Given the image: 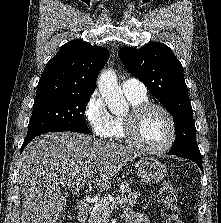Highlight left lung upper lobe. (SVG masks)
Here are the masks:
<instances>
[{"label":"left lung upper lobe","mask_w":221,"mask_h":223,"mask_svg":"<svg viewBox=\"0 0 221 223\" xmlns=\"http://www.w3.org/2000/svg\"><path fill=\"white\" fill-rule=\"evenodd\" d=\"M118 55L125 68L140 79L174 117L176 138L169 153L200 154L183 68L172 50L162 43H148L140 49L124 47Z\"/></svg>","instance_id":"obj_1"}]
</instances>
